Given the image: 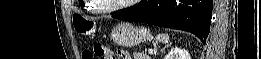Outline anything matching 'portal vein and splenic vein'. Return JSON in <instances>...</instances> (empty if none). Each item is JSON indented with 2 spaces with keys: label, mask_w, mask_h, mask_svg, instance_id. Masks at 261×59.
Listing matches in <instances>:
<instances>
[{
  "label": "portal vein and splenic vein",
  "mask_w": 261,
  "mask_h": 59,
  "mask_svg": "<svg viewBox=\"0 0 261 59\" xmlns=\"http://www.w3.org/2000/svg\"><path fill=\"white\" fill-rule=\"evenodd\" d=\"M148 53H149V54H153V50H152V49H149V50H148Z\"/></svg>",
  "instance_id": "1"
}]
</instances>
